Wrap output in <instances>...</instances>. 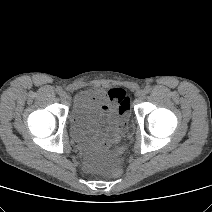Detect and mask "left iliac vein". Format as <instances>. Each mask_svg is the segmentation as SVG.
Segmentation results:
<instances>
[{
	"label": "left iliac vein",
	"instance_id": "obj_1",
	"mask_svg": "<svg viewBox=\"0 0 212 212\" xmlns=\"http://www.w3.org/2000/svg\"><path fill=\"white\" fill-rule=\"evenodd\" d=\"M145 95H146V91L145 90H139L138 92H137V97H138V99H143L144 97H145Z\"/></svg>",
	"mask_w": 212,
	"mask_h": 212
}]
</instances>
